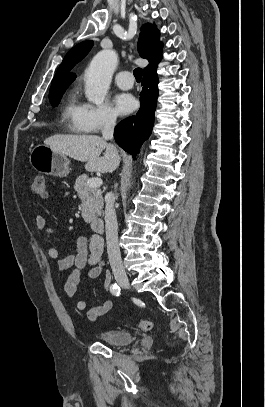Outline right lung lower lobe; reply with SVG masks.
<instances>
[{
	"instance_id": "obj_1",
	"label": "right lung lower lobe",
	"mask_w": 265,
	"mask_h": 407,
	"mask_svg": "<svg viewBox=\"0 0 265 407\" xmlns=\"http://www.w3.org/2000/svg\"><path fill=\"white\" fill-rule=\"evenodd\" d=\"M160 59L144 72L140 93L141 107L136 116L126 118L115 128L114 138L118 145L125 151L135 156L139 153L140 146L148 139L154 124L158 96V77L156 73Z\"/></svg>"
}]
</instances>
